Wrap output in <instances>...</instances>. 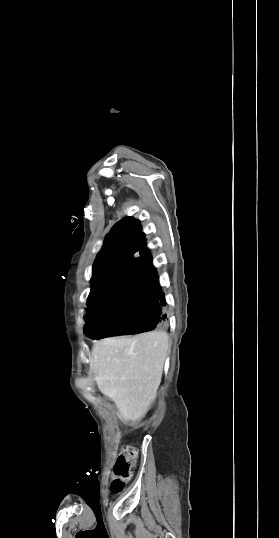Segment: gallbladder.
I'll return each instance as SVG.
<instances>
[{"instance_id":"gallbladder-1","label":"gallbladder","mask_w":279,"mask_h":538,"mask_svg":"<svg viewBox=\"0 0 279 538\" xmlns=\"http://www.w3.org/2000/svg\"><path fill=\"white\" fill-rule=\"evenodd\" d=\"M107 409H108V411L113 412V411H115L116 406H115V404L110 403V404H108Z\"/></svg>"}]
</instances>
